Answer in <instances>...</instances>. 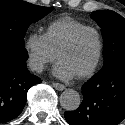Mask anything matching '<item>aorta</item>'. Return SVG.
<instances>
[{
  "mask_svg": "<svg viewBox=\"0 0 125 125\" xmlns=\"http://www.w3.org/2000/svg\"><path fill=\"white\" fill-rule=\"evenodd\" d=\"M80 103V95L73 89H66L60 96V104L65 110H76L79 107Z\"/></svg>",
  "mask_w": 125,
  "mask_h": 125,
  "instance_id": "obj_1",
  "label": "aorta"
}]
</instances>
